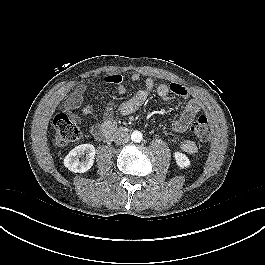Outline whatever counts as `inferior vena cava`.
Segmentation results:
<instances>
[{"instance_id": "602c4592", "label": "inferior vena cava", "mask_w": 265, "mask_h": 265, "mask_svg": "<svg viewBox=\"0 0 265 265\" xmlns=\"http://www.w3.org/2000/svg\"><path fill=\"white\" fill-rule=\"evenodd\" d=\"M130 135L127 132L118 133L115 137V143L117 145L125 144L129 141Z\"/></svg>"}]
</instances>
